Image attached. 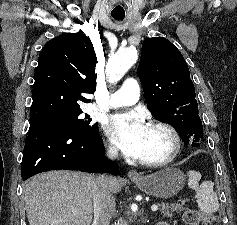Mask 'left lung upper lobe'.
Wrapping results in <instances>:
<instances>
[{"label": "left lung upper lobe", "mask_w": 237, "mask_h": 225, "mask_svg": "<svg viewBox=\"0 0 237 225\" xmlns=\"http://www.w3.org/2000/svg\"><path fill=\"white\" fill-rule=\"evenodd\" d=\"M137 73L147 108L156 119L171 124L180 134L199 117L188 65L169 40L143 41Z\"/></svg>", "instance_id": "5c2ea615"}]
</instances>
